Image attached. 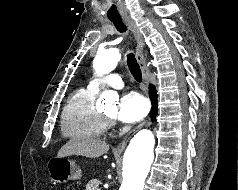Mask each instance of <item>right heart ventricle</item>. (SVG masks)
Instances as JSON below:
<instances>
[{
  "label": "right heart ventricle",
  "instance_id": "obj_1",
  "mask_svg": "<svg viewBox=\"0 0 238 190\" xmlns=\"http://www.w3.org/2000/svg\"><path fill=\"white\" fill-rule=\"evenodd\" d=\"M97 91L87 87L76 90L68 99L61 116V131L71 138H98L106 123L95 107Z\"/></svg>",
  "mask_w": 238,
  "mask_h": 190
}]
</instances>
